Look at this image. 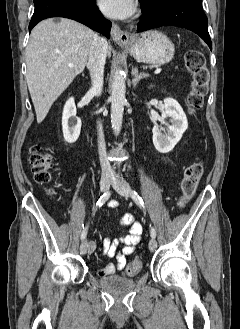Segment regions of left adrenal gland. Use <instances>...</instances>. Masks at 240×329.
I'll list each match as a JSON object with an SVG mask.
<instances>
[{"label": "left adrenal gland", "instance_id": "left-adrenal-gland-1", "mask_svg": "<svg viewBox=\"0 0 240 329\" xmlns=\"http://www.w3.org/2000/svg\"><path fill=\"white\" fill-rule=\"evenodd\" d=\"M132 75L134 76V78H133V80H132L133 87H136V85L138 84V82H139L141 79H143V78H145V77L148 76V75L145 74V73H140V74H139L137 68H134V69L132 70Z\"/></svg>", "mask_w": 240, "mask_h": 329}]
</instances>
